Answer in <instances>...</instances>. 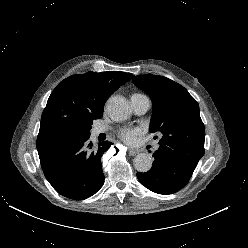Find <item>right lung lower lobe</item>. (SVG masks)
I'll return each mask as SVG.
<instances>
[{
	"instance_id": "98d812e1",
	"label": "right lung lower lobe",
	"mask_w": 248,
	"mask_h": 248,
	"mask_svg": "<svg viewBox=\"0 0 248 248\" xmlns=\"http://www.w3.org/2000/svg\"><path fill=\"white\" fill-rule=\"evenodd\" d=\"M89 137L90 131H72L38 151L45 177L67 198L84 200L104 183L100 160L112 143L103 141L93 146Z\"/></svg>"
}]
</instances>
